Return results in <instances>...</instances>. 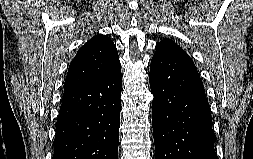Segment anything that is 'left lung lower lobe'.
Here are the masks:
<instances>
[{"label":"left lung lower lobe","instance_id":"0a47b994","mask_svg":"<svg viewBox=\"0 0 253 159\" xmlns=\"http://www.w3.org/2000/svg\"><path fill=\"white\" fill-rule=\"evenodd\" d=\"M149 81L156 159H218L209 104L192 59L155 53Z\"/></svg>","mask_w":253,"mask_h":159}]
</instances>
